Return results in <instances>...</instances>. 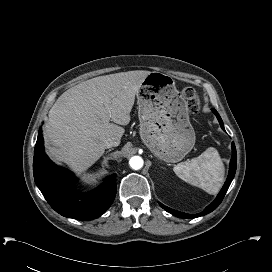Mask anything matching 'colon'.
<instances>
[{"instance_id":"obj_1","label":"colon","mask_w":272,"mask_h":272,"mask_svg":"<svg viewBox=\"0 0 272 272\" xmlns=\"http://www.w3.org/2000/svg\"><path fill=\"white\" fill-rule=\"evenodd\" d=\"M182 97L191 113L198 114L200 112L201 102L197 92L192 87L183 88Z\"/></svg>"}]
</instances>
